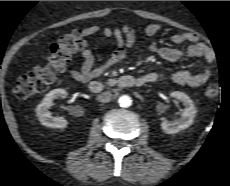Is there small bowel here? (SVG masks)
I'll return each instance as SVG.
<instances>
[{
    "instance_id": "1",
    "label": "small bowel",
    "mask_w": 230,
    "mask_h": 186,
    "mask_svg": "<svg viewBox=\"0 0 230 186\" xmlns=\"http://www.w3.org/2000/svg\"><path fill=\"white\" fill-rule=\"evenodd\" d=\"M161 30L162 26L160 24H150L146 27L145 33L147 36L152 37ZM99 31H102L106 38L115 42V49L104 65L95 67V57L93 53L88 48H84L81 51L83 62L80 69L69 70V75L75 81L85 83L98 77L107 67L122 61L126 56L127 48L132 47L136 42L135 31L129 26L101 28L98 25H93L82 30L85 35H92ZM171 41L175 44L190 43V45L184 49H177L159 47L156 43H151L149 50L157 54L160 58L170 62H176L183 58L197 57L203 59L206 64V68L200 73H194L190 70L176 71L170 75V79L173 82L191 87H199L211 79L216 63V56L211 48L199 42L198 37L193 33L182 32L173 34ZM141 77L145 83H153L163 79L165 75L159 72H149Z\"/></svg>"
}]
</instances>
